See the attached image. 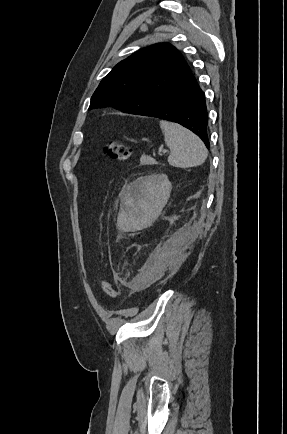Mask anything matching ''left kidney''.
<instances>
[{"label":"left kidney","instance_id":"left-kidney-1","mask_svg":"<svg viewBox=\"0 0 287 434\" xmlns=\"http://www.w3.org/2000/svg\"><path fill=\"white\" fill-rule=\"evenodd\" d=\"M172 184L167 175L157 174L140 177L124 191V205L128 215L146 223L152 222L167 203Z\"/></svg>","mask_w":287,"mask_h":434}]
</instances>
